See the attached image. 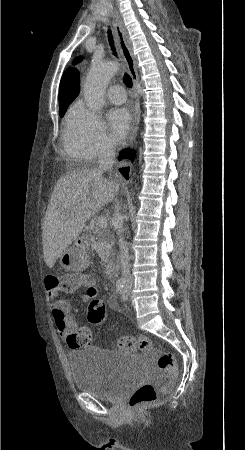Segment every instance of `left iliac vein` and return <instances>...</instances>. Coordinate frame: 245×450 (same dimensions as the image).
<instances>
[{"label": "left iliac vein", "mask_w": 245, "mask_h": 450, "mask_svg": "<svg viewBox=\"0 0 245 450\" xmlns=\"http://www.w3.org/2000/svg\"><path fill=\"white\" fill-rule=\"evenodd\" d=\"M129 295H130V287L126 286L125 289H124V292L122 294V299L124 301L128 300Z\"/></svg>", "instance_id": "4c4485c4"}]
</instances>
